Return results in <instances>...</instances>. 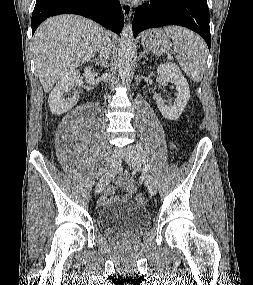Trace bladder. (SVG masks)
Instances as JSON below:
<instances>
[{
  "label": "bladder",
  "instance_id": "obj_1",
  "mask_svg": "<svg viewBox=\"0 0 253 285\" xmlns=\"http://www.w3.org/2000/svg\"><path fill=\"white\" fill-rule=\"evenodd\" d=\"M98 219L105 233L119 236L138 234L150 223L148 210L134 203L103 208Z\"/></svg>",
  "mask_w": 253,
  "mask_h": 285
}]
</instances>
